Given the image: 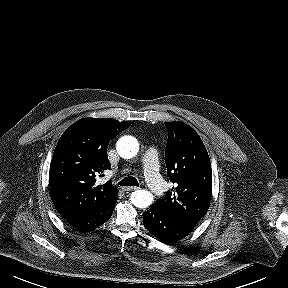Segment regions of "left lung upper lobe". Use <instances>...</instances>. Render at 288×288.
I'll list each match as a JSON object with an SVG mask.
<instances>
[{
  "label": "left lung upper lobe",
  "instance_id": "left-lung-upper-lobe-1",
  "mask_svg": "<svg viewBox=\"0 0 288 288\" xmlns=\"http://www.w3.org/2000/svg\"><path fill=\"white\" fill-rule=\"evenodd\" d=\"M168 141L165 150L167 174L176 187L155 205L168 215L195 226L205 216L212 193V170L207 150L190 126L165 123Z\"/></svg>",
  "mask_w": 288,
  "mask_h": 288
}]
</instances>
